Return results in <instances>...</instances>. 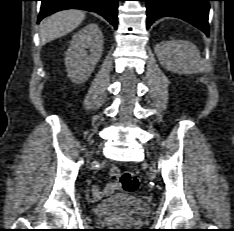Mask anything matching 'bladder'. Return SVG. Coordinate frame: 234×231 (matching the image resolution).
Returning a JSON list of instances; mask_svg holds the SVG:
<instances>
[{"mask_svg": "<svg viewBox=\"0 0 234 231\" xmlns=\"http://www.w3.org/2000/svg\"><path fill=\"white\" fill-rule=\"evenodd\" d=\"M96 216H111L118 214L147 216L149 214L148 204L135 196L127 194H117L111 198L97 204L93 208Z\"/></svg>", "mask_w": 234, "mask_h": 231, "instance_id": "1", "label": "bladder"}]
</instances>
